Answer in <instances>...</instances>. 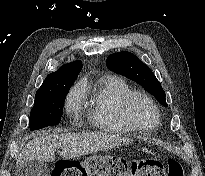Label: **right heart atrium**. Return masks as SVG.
Returning <instances> with one entry per match:
<instances>
[{"label": "right heart atrium", "mask_w": 205, "mask_h": 176, "mask_svg": "<svg viewBox=\"0 0 205 176\" xmlns=\"http://www.w3.org/2000/svg\"><path fill=\"white\" fill-rule=\"evenodd\" d=\"M82 104V88L80 85L74 86L68 93L65 100V109L71 116L76 115Z\"/></svg>", "instance_id": "obj_1"}]
</instances>
